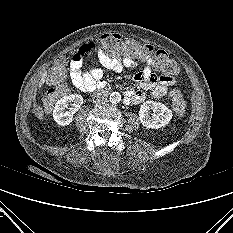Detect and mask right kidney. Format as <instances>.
Instances as JSON below:
<instances>
[{
    "label": "right kidney",
    "mask_w": 233,
    "mask_h": 233,
    "mask_svg": "<svg viewBox=\"0 0 233 233\" xmlns=\"http://www.w3.org/2000/svg\"><path fill=\"white\" fill-rule=\"evenodd\" d=\"M83 104V97L78 94H72L62 97L57 101L54 110L53 118L55 122L61 126L69 125L73 121L74 114L79 110ZM72 107L65 111L68 106Z\"/></svg>",
    "instance_id": "1"
}]
</instances>
